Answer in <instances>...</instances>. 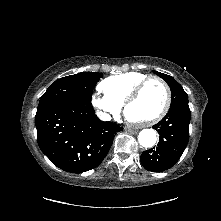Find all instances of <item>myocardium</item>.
I'll return each mask as SVG.
<instances>
[{"label": "myocardium", "mask_w": 221, "mask_h": 221, "mask_svg": "<svg viewBox=\"0 0 221 221\" xmlns=\"http://www.w3.org/2000/svg\"><path fill=\"white\" fill-rule=\"evenodd\" d=\"M151 81H156V82L160 83L164 89L165 102H164L162 109L155 116H153L147 120H144V121H135V120L130 119L128 116V109H129L130 105L139 97L143 88ZM170 105H171V91H170L168 84L163 79H161L157 76H148L147 78L142 80L131 91V93L129 94V96L127 97L125 102L123 103V111H124V115H125L127 121L131 125L138 127V128H142V127H149V126H152V125L158 123L167 114V112L170 108Z\"/></svg>", "instance_id": "f54148a6"}]
</instances>
